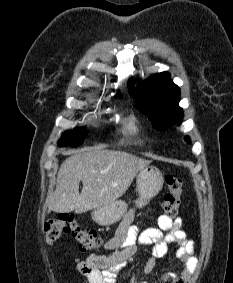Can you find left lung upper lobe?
I'll list each match as a JSON object with an SVG mask.
<instances>
[{
    "label": "left lung upper lobe",
    "instance_id": "5c2ea615",
    "mask_svg": "<svg viewBox=\"0 0 233 283\" xmlns=\"http://www.w3.org/2000/svg\"><path fill=\"white\" fill-rule=\"evenodd\" d=\"M131 89V81H129ZM137 107L151 120L153 127L165 130L182 123L183 110L178 106L180 89L166 72L155 74L140 83L136 90ZM184 140L190 143L189 136Z\"/></svg>",
    "mask_w": 233,
    "mask_h": 283
}]
</instances>
